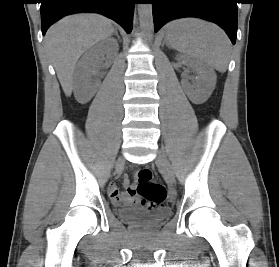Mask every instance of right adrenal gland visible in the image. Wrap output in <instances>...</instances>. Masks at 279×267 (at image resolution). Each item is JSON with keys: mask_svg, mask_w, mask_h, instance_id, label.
Listing matches in <instances>:
<instances>
[{"mask_svg": "<svg viewBox=\"0 0 279 267\" xmlns=\"http://www.w3.org/2000/svg\"><path fill=\"white\" fill-rule=\"evenodd\" d=\"M113 34L116 35V37H117L118 40L120 39L117 30H114Z\"/></svg>", "mask_w": 279, "mask_h": 267, "instance_id": "2a0ac1e0", "label": "right adrenal gland"}]
</instances>
